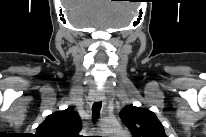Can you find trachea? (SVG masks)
I'll return each instance as SVG.
<instances>
[{
  "instance_id": "trachea-1",
  "label": "trachea",
  "mask_w": 206,
  "mask_h": 137,
  "mask_svg": "<svg viewBox=\"0 0 206 137\" xmlns=\"http://www.w3.org/2000/svg\"><path fill=\"white\" fill-rule=\"evenodd\" d=\"M101 107V102H95L92 106V117L94 122L99 118Z\"/></svg>"
}]
</instances>
